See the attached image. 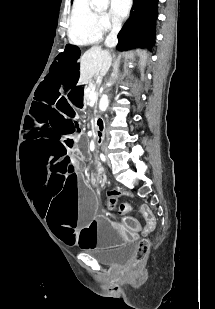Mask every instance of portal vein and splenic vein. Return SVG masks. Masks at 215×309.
<instances>
[{
	"instance_id": "portal-vein-and-splenic-vein-1",
	"label": "portal vein and splenic vein",
	"mask_w": 215,
	"mask_h": 309,
	"mask_svg": "<svg viewBox=\"0 0 215 309\" xmlns=\"http://www.w3.org/2000/svg\"><path fill=\"white\" fill-rule=\"evenodd\" d=\"M89 96H96L95 88H93V90H90Z\"/></svg>"
}]
</instances>
